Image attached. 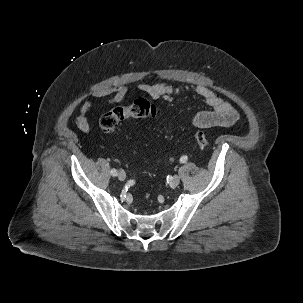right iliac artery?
<instances>
[{
    "mask_svg": "<svg viewBox=\"0 0 303 303\" xmlns=\"http://www.w3.org/2000/svg\"><path fill=\"white\" fill-rule=\"evenodd\" d=\"M110 173H111L112 176H117V170L116 169H112L110 171Z\"/></svg>",
    "mask_w": 303,
    "mask_h": 303,
    "instance_id": "1",
    "label": "right iliac artery"
}]
</instances>
